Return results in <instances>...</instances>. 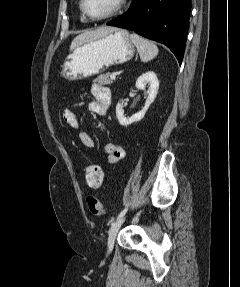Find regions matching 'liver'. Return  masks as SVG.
Returning <instances> with one entry per match:
<instances>
[{
	"mask_svg": "<svg viewBox=\"0 0 240 287\" xmlns=\"http://www.w3.org/2000/svg\"><path fill=\"white\" fill-rule=\"evenodd\" d=\"M115 29H116V27L103 26V27H100L96 30L85 31L73 39V41L70 45V49L73 50L74 48L78 47L79 45H81L85 42H88L90 40L102 37V36L108 34L109 32L114 31Z\"/></svg>",
	"mask_w": 240,
	"mask_h": 287,
	"instance_id": "obj_1",
	"label": "liver"
}]
</instances>
